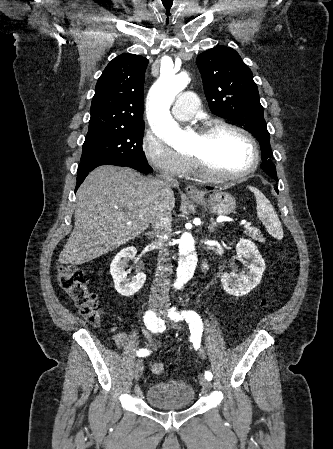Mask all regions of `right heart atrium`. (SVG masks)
Here are the masks:
<instances>
[{
  "label": "right heart atrium",
  "mask_w": 333,
  "mask_h": 449,
  "mask_svg": "<svg viewBox=\"0 0 333 449\" xmlns=\"http://www.w3.org/2000/svg\"><path fill=\"white\" fill-rule=\"evenodd\" d=\"M146 161L158 172L172 177L184 176L189 168L190 160L174 150L160 137L147 132L141 144Z\"/></svg>",
  "instance_id": "d8ad5b80"
}]
</instances>
